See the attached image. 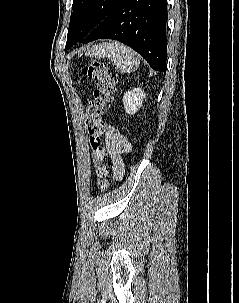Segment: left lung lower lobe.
<instances>
[{
  "label": "left lung lower lobe",
  "mask_w": 239,
  "mask_h": 303,
  "mask_svg": "<svg viewBox=\"0 0 239 303\" xmlns=\"http://www.w3.org/2000/svg\"><path fill=\"white\" fill-rule=\"evenodd\" d=\"M166 0H118L82 43L118 40L137 51L156 71L166 72Z\"/></svg>",
  "instance_id": "left-lung-lower-lobe-1"
}]
</instances>
